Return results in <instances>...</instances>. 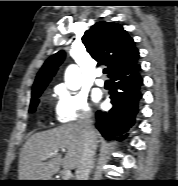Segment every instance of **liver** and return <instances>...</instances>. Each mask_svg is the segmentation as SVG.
I'll list each match as a JSON object with an SVG mask.
<instances>
[{"instance_id": "6515ba94", "label": "liver", "mask_w": 178, "mask_h": 186, "mask_svg": "<svg viewBox=\"0 0 178 186\" xmlns=\"http://www.w3.org/2000/svg\"><path fill=\"white\" fill-rule=\"evenodd\" d=\"M95 137L96 139L98 137L97 131ZM60 149H66L64 158L58 154ZM83 149L84 136L80 121L36 133L26 141L21 150L18 178L19 180H50L60 167L75 169L81 160ZM49 152L56 154L43 159Z\"/></svg>"}]
</instances>
